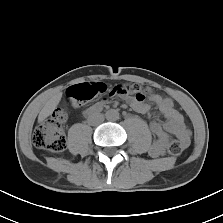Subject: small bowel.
<instances>
[{"mask_svg":"<svg viewBox=\"0 0 223 223\" xmlns=\"http://www.w3.org/2000/svg\"><path fill=\"white\" fill-rule=\"evenodd\" d=\"M163 99V97L157 94L150 97V101L158 107L160 114L165 118L164 123L156 121L150 123L151 131L155 135V139L149 147V153L153 157H159L165 153L171 138L179 140L184 147L190 143V131L184 123L183 116L175 108H167L163 104ZM126 100L138 113L145 114L149 111V104L143 100H138L134 96L127 97ZM106 103L105 100L98 102L90 109H95L98 112Z\"/></svg>","mask_w":223,"mask_h":223,"instance_id":"small-bowel-1","label":"small bowel"}]
</instances>
